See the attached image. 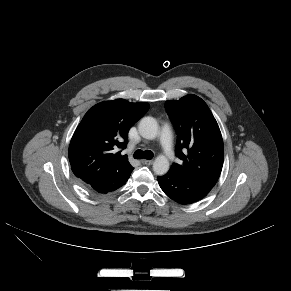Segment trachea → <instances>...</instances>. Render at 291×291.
<instances>
[{
	"label": "trachea",
	"instance_id": "3493384b",
	"mask_svg": "<svg viewBox=\"0 0 291 291\" xmlns=\"http://www.w3.org/2000/svg\"><path fill=\"white\" fill-rule=\"evenodd\" d=\"M134 158L135 159H147V160H151L154 156L153 152L150 151V150H145V151H142V150H136L135 153H134Z\"/></svg>",
	"mask_w": 291,
	"mask_h": 291
}]
</instances>
